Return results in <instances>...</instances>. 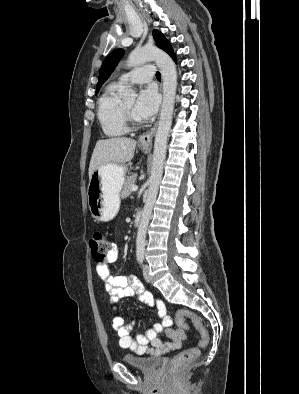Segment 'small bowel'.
Segmentation results:
<instances>
[{"instance_id":"obj_1","label":"small bowel","mask_w":299,"mask_h":394,"mask_svg":"<svg viewBox=\"0 0 299 394\" xmlns=\"http://www.w3.org/2000/svg\"><path fill=\"white\" fill-rule=\"evenodd\" d=\"M117 258L118 247L113 243L107 256L96 265V272L105 285L111 307L115 309L118 300L136 295L145 304L155 307L161 319L160 323L150 326L144 334L134 337L132 330L135 322L126 324L121 315H116L112 321V326L119 336V345L138 355L148 356H159L165 352L179 349L182 342L187 338L186 327L178 323L176 328L172 327L173 320L167 314L164 302L151 292L144 290L137 277L112 274L108 265L114 263ZM163 331L167 341L158 337V334Z\"/></svg>"}]
</instances>
